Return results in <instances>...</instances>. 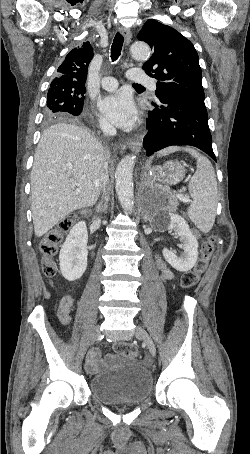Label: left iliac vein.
I'll return each mask as SVG.
<instances>
[{
  "label": "left iliac vein",
  "instance_id": "1",
  "mask_svg": "<svg viewBox=\"0 0 250 454\" xmlns=\"http://www.w3.org/2000/svg\"><path fill=\"white\" fill-rule=\"evenodd\" d=\"M135 334L138 338L143 340V342L146 344V346L149 349L152 356L155 357L156 356V347H155V344H154L152 338L147 333V331L145 329H143L142 327L137 326Z\"/></svg>",
  "mask_w": 250,
  "mask_h": 454
}]
</instances>
